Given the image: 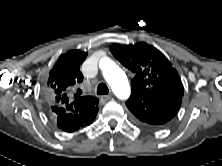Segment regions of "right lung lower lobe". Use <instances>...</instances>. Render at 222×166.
Returning a JSON list of instances; mask_svg holds the SVG:
<instances>
[{
    "instance_id": "right-lung-lower-lobe-1",
    "label": "right lung lower lobe",
    "mask_w": 222,
    "mask_h": 166,
    "mask_svg": "<svg viewBox=\"0 0 222 166\" xmlns=\"http://www.w3.org/2000/svg\"><path fill=\"white\" fill-rule=\"evenodd\" d=\"M55 110L51 111L53 120L56 122L57 126L66 132H73L78 130L81 127L90 125L97 114L93 115L92 119L87 124L81 122V120H77L76 117H73L71 114L64 112L62 107H53Z\"/></svg>"
}]
</instances>
